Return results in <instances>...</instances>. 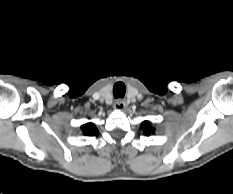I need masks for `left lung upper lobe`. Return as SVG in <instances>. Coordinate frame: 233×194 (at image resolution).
Here are the masks:
<instances>
[{"label": "left lung upper lobe", "mask_w": 233, "mask_h": 194, "mask_svg": "<svg viewBox=\"0 0 233 194\" xmlns=\"http://www.w3.org/2000/svg\"><path fill=\"white\" fill-rule=\"evenodd\" d=\"M142 126L145 128V134L147 136H149L151 132H154L149 121L142 122Z\"/></svg>", "instance_id": "obj_1"}]
</instances>
